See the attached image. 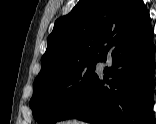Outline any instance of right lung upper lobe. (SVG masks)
Masks as SVG:
<instances>
[{
	"instance_id": "right-lung-upper-lobe-1",
	"label": "right lung upper lobe",
	"mask_w": 156,
	"mask_h": 124,
	"mask_svg": "<svg viewBox=\"0 0 156 124\" xmlns=\"http://www.w3.org/2000/svg\"><path fill=\"white\" fill-rule=\"evenodd\" d=\"M150 26L142 0H79L56 20L38 77L73 64L101 59L125 33Z\"/></svg>"
}]
</instances>
